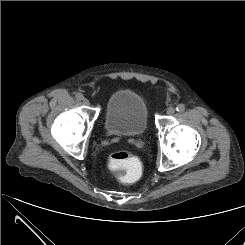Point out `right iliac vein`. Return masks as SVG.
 I'll return each mask as SVG.
<instances>
[{
  "label": "right iliac vein",
  "mask_w": 245,
  "mask_h": 245,
  "mask_svg": "<svg viewBox=\"0 0 245 245\" xmlns=\"http://www.w3.org/2000/svg\"><path fill=\"white\" fill-rule=\"evenodd\" d=\"M83 103H84L85 105H87V106L90 104V102H89L88 99H83Z\"/></svg>",
  "instance_id": "right-iliac-vein-1"
}]
</instances>
